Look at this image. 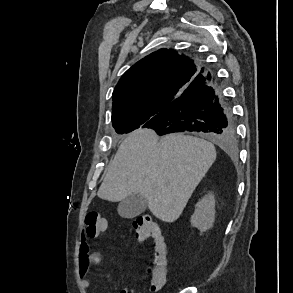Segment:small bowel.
<instances>
[{
    "label": "small bowel",
    "mask_w": 293,
    "mask_h": 293,
    "mask_svg": "<svg viewBox=\"0 0 293 293\" xmlns=\"http://www.w3.org/2000/svg\"><path fill=\"white\" fill-rule=\"evenodd\" d=\"M108 230V229H107ZM105 230L104 232H106ZM103 262V256L99 252H92L90 251V245L85 236H82L79 242V255H78V268L79 273L81 276H86L92 265H99ZM82 286L85 289L91 288V282L83 278L82 279ZM127 289L121 290L120 293H127Z\"/></svg>",
    "instance_id": "c3829d8e"
}]
</instances>
